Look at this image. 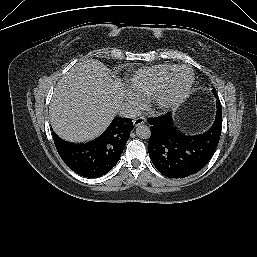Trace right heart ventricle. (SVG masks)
<instances>
[{"instance_id":"1","label":"right heart ventricle","mask_w":257,"mask_h":257,"mask_svg":"<svg viewBox=\"0 0 257 257\" xmlns=\"http://www.w3.org/2000/svg\"><path fill=\"white\" fill-rule=\"evenodd\" d=\"M173 64H159L139 69L129 80V88L142 100L150 99Z\"/></svg>"}]
</instances>
